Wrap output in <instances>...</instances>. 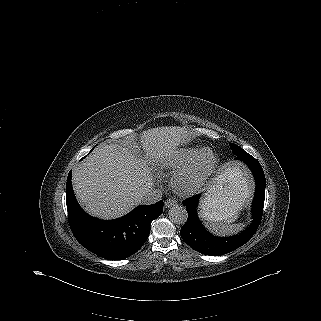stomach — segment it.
I'll return each mask as SVG.
<instances>
[{"instance_id": "1", "label": "stomach", "mask_w": 321, "mask_h": 321, "mask_svg": "<svg viewBox=\"0 0 321 321\" xmlns=\"http://www.w3.org/2000/svg\"><path fill=\"white\" fill-rule=\"evenodd\" d=\"M251 194V183L248 173L240 164L234 163L226 167L215 179L203 200V205L220 200L231 207L229 221L236 218L241 207Z\"/></svg>"}]
</instances>
